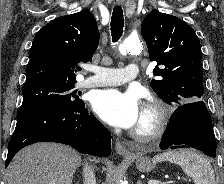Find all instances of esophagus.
I'll return each instance as SVG.
<instances>
[{"mask_svg":"<svg viewBox=\"0 0 224 184\" xmlns=\"http://www.w3.org/2000/svg\"><path fill=\"white\" fill-rule=\"evenodd\" d=\"M116 3L118 5H122L124 3V0H116ZM115 150L119 155H126V156L130 155L125 145L118 140L115 143Z\"/></svg>","mask_w":224,"mask_h":184,"instance_id":"1","label":"esophagus"}]
</instances>
